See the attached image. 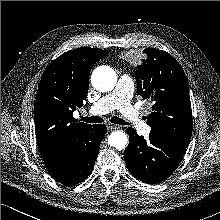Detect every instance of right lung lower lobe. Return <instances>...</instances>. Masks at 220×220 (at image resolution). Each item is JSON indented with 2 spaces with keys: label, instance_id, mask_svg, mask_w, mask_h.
Wrapping results in <instances>:
<instances>
[{
  "label": "right lung lower lobe",
  "instance_id": "right-lung-lower-lobe-1",
  "mask_svg": "<svg viewBox=\"0 0 220 220\" xmlns=\"http://www.w3.org/2000/svg\"><path fill=\"white\" fill-rule=\"evenodd\" d=\"M107 131L104 124L92 125L63 151L47 168L57 181L75 185L84 181L92 172L100 143Z\"/></svg>",
  "mask_w": 220,
  "mask_h": 220
}]
</instances>
